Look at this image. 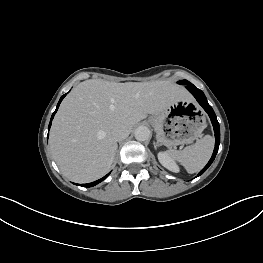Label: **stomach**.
Here are the masks:
<instances>
[{
	"mask_svg": "<svg viewBox=\"0 0 263 263\" xmlns=\"http://www.w3.org/2000/svg\"><path fill=\"white\" fill-rule=\"evenodd\" d=\"M149 122L155 129L157 141L167 147L193 142L206 127L204 114L190 98L171 104L151 116Z\"/></svg>",
	"mask_w": 263,
	"mask_h": 263,
	"instance_id": "obj_1",
	"label": "stomach"
}]
</instances>
